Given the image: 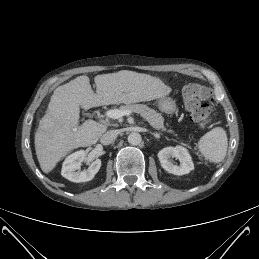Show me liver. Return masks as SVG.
Segmentation results:
<instances>
[{
  "label": "liver",
  "instance_id": "1",
  "mask_svg": "<svg viewBox=\"0 0 259 259\" xmlns=\"http://www.w3.org/2000/svg\"><path fill=\"white\" fill-rule=\"evenodd\" d=\"M78 76L59 86L51 96L46 114L35 133V151L44 173L51 172L70 151L95 144L107 126L94 120L79 125L80 107L90 109L110 104H131L161 98L170 92L160 79L129 70L94 78Z\"/></svg>",
  "mask_w": 259,
  "mask_h": 259
}]
</instances>
